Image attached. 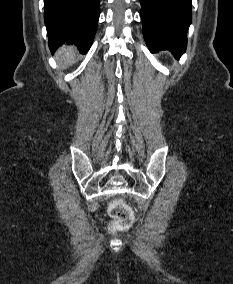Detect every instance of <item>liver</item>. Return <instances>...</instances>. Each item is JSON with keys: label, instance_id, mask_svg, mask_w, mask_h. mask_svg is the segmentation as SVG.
<instances>
[{"label": "liver", "instance_id": "6515ba94", "mask_svg": "<svg viewBox=\"0 0 233 284\" xmlns=\"http://www.w3.org/2000/svg\"><path fill=\"white\" fill-rule=\"evenodd\" d=\"M75 49L72 47H64L59 51L58 55L61 57V61L71 63L75 58Z\"/></svg>", "mask_w": 233, "mask_h": 284}]
</instances>
